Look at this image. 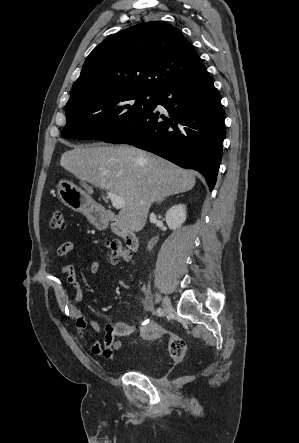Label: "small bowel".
<instances>
[{"instance_id":"obj_1","label":"small bowel","mask_w":299,"mask_h":443,"mask_svg":"<svg viewBox=\"0 0 299 443\" xmlns=\"http://www.w3.org/2000/svg\"><path fill=\"white\" fill-rule=\"evenodd\" d=\"M74 243L66 241L62 243L55 252L56 257L66 256L74 249ZM100 264L92 260L89 264V271L92 274L98 273ZM61 281L53 287L58 307L65 311L72 319L80 340L87 345L91 352L97 356H102L108 360H113L122 348L121 337H126L134 333L130 324L121 321L109 320L104 326H100L95 321H90L87 316L76 307V303L82 301L83 291L77 280L75 268L69 264H61L57 268ZM73 288V294L69 295L65 284ZM144 310H151V300L147 298ZM89 330L104 334L103 343L92 341Z\"/></svg>"}]
</instances>
